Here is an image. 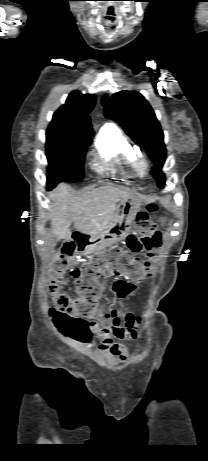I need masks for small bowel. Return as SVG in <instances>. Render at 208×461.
Instances as JSON below:
<instances>
[{
    "instance_id": "small-bowel-1",
    "label": "small bowel",
    "mask_w": 208,
    "mask_h": 461,
    "mask_svg": "<svg viewBox=\"0 0 208 461\" xmlns=\"http://www.w3.org/2000/svg\"><path fill=\"white\" fill-rule=\"evenodd\" d=\"M111 292L120 299L132 297L137 291L135 282L126 280H116L110 287ZM88 322L89 339L84 342L92 345L94 335L99 340L98 351L105 357H116L124 360L126 350L120 344L114 342L116 339H133L137 336L138 320L131 314L122 317L118 310L108 306L96 307Z\"/></svg>"
}]
</instances>
